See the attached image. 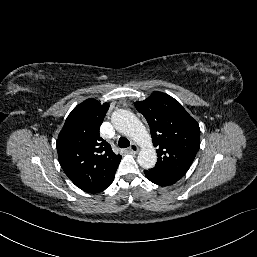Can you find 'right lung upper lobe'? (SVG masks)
<instances>
[{
	"instance_id": "cb5924a9",
	"label": "right lung upper lobe",
	"mask_w": 257,
	"mask_h": 257,
	"mask_svg": "<svg viewBox=\"0 0 257 257\" xmlns=\"http://www.w3.org/2000/svg\"><path fill=\"white\" fill-rule=\"evenodd\" d=\"M109 109L87 99L67 117L57 139L60 165L70 180L88 193L104 191L114 180L121 160L100 137L99 129Z\"/></svg>"
}]
</instances>
